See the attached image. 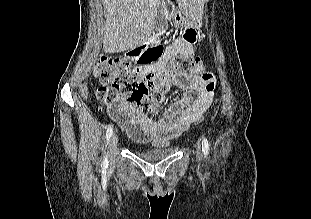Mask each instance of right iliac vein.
<instances>
[{
	"label": "right iliac vein",
	"instance_id": "63e3f726",
	"mask_svg": "<svg viewBox=\"0 0 311 219\" xmlns=\"http://www.w3.org/2000/svg\"><path fill=\"white\" fill-rule=\"evenodd\" d=\"M117 144H118V137L116 134H113L109 142V159L111 163L114 162L116 158Z\"/></svg>",
	"mask_w": 311,
	"mask_h": 219
}]
</instances>
